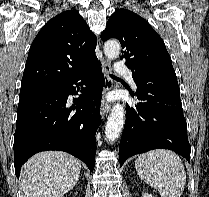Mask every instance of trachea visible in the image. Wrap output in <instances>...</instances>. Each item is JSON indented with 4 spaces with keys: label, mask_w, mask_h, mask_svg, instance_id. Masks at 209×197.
<instances>
[{
    "label": "trachea",
    "mask_w": 209,
    "mask_h": 197,
    "mask_svg": "<svg viewBox=\"0 0 209 197\" xmlns=\"http://www.w3.org/2000/svg\"><path fill=\"white\" fill-rule=\"evenodd\" d=\"M112 78H116V76H114V75H110Z\"/></svg>",
    "instance_id": "3493384b"
}]
</instances>
